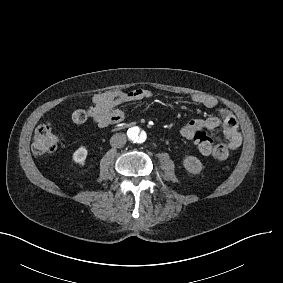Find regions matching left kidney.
Segmentation results:
<instances>
[{
    "label": "left kidney",
    "instance_id": "left-kidney-1",
    "mask_svg": "<svg viewBox=\"0 0 283 283\" xmlns=\"http://www.w3.org/2000/svg\"><path fill=\"white\" fill-rule=\"evenodd\" d=\"M184 165L189 172L194 174L199 173L203 167L201 162L197 158L191 156L186 157Z\"/></svg>",
    "mask_w": 283,
    "mask_h": 283
}]
</instances>
